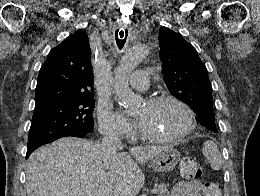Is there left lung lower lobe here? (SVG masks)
Wrapping results in <instances>:
<instances>
[{
  "label": "left lung lower lobe",
  "instance_id": "0a47b994",
  "mask_svg": "<svg viewBox=\"0 0 260 196\" xmlns=\"http://www.w3.org/2000/svg\"><path fill=\"white\" fill-rule=\"evenodd\" d=\"M197 120L203 125H210L211 123L215 122L214 111L209 112L205 110H198L196 111Z\"/></svg>",
  "mask_w": 260,
  "mask_h": 196
}]
</instances>
